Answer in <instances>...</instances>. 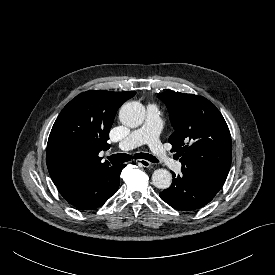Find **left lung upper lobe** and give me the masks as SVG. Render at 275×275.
<instances>
[{
	"label": "left lung upper lobe",
	"instance_id": "obj_1",
	"mask_svg": "<svg viewBox=\"0 0 275 275\" xmlns=\"http://www.w3.org/2000/svg\"><path fill=\"white\" fill-rule=\"evenodd\" d=\"M166 104L174 132L172 152L182 169L225 182L231 166V135L218 109L206 98L168 90L158 95Z\"/></svg>",
	"mask_w": 275,
	"mask_h": 275
}]
</instances>
